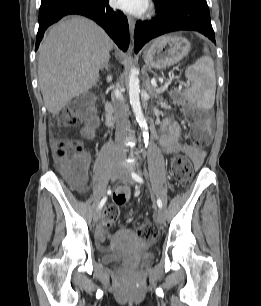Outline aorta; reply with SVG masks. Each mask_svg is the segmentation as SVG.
Returning <instances> with one entry per match:
<instances>
[{
    "instance_id": "aorta-1",
    "label": "aorta",
    "mask_w": 261,
    "mask_h": 306,
    "mask_svg": "<svg viewBox=\"0 0 261 306\" xmlns=\"http://www.w3.org/2000/svg\"><path fill=\"white\" fill-rule=\"evenodd\" d=\"M139 93H140V88H139V79L137 77V70L135 68H132L129 75L130 104L132 106L133 112L135 114L139 126L143 129V135L147 140L148 137L147 124L141 109Z\"/></svg>"
}]
</instances>
